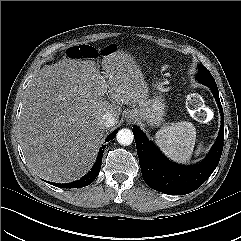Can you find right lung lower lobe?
<instances>
[{"mask_svg":"<svg viewBox=\"0 0 241 241\" xmlns=\"http://www.w3.org/2000/svg\"><path fill=\"white\" fill-rule=\"evenodd\" d=\"M116 134H117V130L113 131L107 137V139L105 141L108 142V141L112 140L116 136ZM105 147H106V145L101 147L99 154L97 156L95 165L93 166L91 171L87 175L82 177L80 180H77L75 182L68 183V184H56V183H51V182H49V183L56 187H60V188H81V187H85V186L91 184L95 180V178L98 176L99 171L101 169L102 156H103Z\"/></svg>","mask_w":241,"mask_h":241,"instance_id":"1","label":"right lung lower lobe"}]
</instances>
